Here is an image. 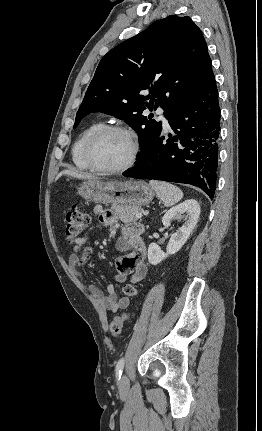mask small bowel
<instances>
[{"label": "small bowel", "instance_id": "obj_1", "mask_svg": "<svg viewBox=\"0 0 262 431\" xmlns=\"http://www.w3.org/2000/svg\"><path fill=\"white\" fill-rule=\"evenodd\" d=\"M95 215L103 225L113 226L117 223V216L112 211H105L100 206L93 209ZM143 225L139 222H130L121 227V236L117 239L116 248L124 252V255L117 261L118 275L117 282L123 283L127 279L131 283L141 282L147 272L145 264L146 247L142 239ZM84 248V253L79 254V250ZM92 248L89 246L87 236L79 237L73 245V253L69 257V264L75 273L81 274L82 268L87 263ZM90 291L93 298L104 309L111 312H118L125 309L130 304L127 296L118 297L116 286L110 283L103 292L98 286L91 284Z\"/></svg>", "mask_w": 262, "mask_h": 431}]
</instances>
